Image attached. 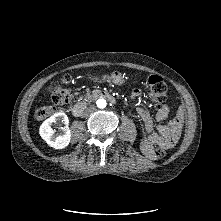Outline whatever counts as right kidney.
Wrapping results in <instances>:
<instances>
[{
    "instance_id": "1",
    "label": "right kidney",
    "mask_w": 221,
    "mask_h": 221,
    "mask_svg": "<svg viewBox=\"0 0 221 221\" xmlns=\"http://www.w3.org/2000/svg\"><path fill=\"white\" fill-rule=\"evenodd\" d=\"M53 124L64 125L59 131L52 129ZM69 119L63 112L56 113L45 120L39 129L40 136L46 143L55 148L63 149L67 147L71 140V131L68 127Z\"/></svg>"
}]
</instances>
